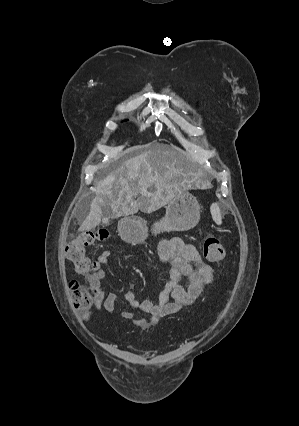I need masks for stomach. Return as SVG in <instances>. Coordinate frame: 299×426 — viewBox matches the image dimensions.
<instances>
[{
	"label": "stomach",
	"instance_id": "1",
	"mask_svg": "<svg viewBox=\"0 0 299 426\" xmlns=\"http://www.w3.org/2000/svg\"><path fill=\"white\" fill-rule=\"evenodd\" d=\"M200 220V205L188 192L176 194L169 200L165 216L152 228L157 234L164 231H187L194 228ZM123 237L132 243L145 240L148 234L146 221L138 217L125 218L121 229Z\"/></svg>",
	"mask_w": 299,
	"mask_h": 426
}]
</instances>
